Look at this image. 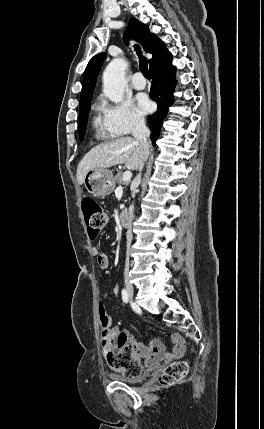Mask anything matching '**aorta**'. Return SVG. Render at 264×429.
<instances>
[{
	"label": "aorta",
	"mask_w": 264,
	"mask_h": 429,
	"mask_svg": "<svg viewBox=\"0 0 264 429\" xmlns=\"http://www.w3.org/2000/svg\"><path fill=\"white\" fill-rule=\"evenodd\" d=\"M126 62L121 58L113 59L103 72V93L112 102L120 103L123 100Z\"/></svg>",
	"instance_id": "obj_1"
}]
</instances>
